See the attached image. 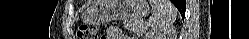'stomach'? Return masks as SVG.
Instances as JSON below:
<instances>
[{"label": "stomach", "mask_w": 249, "mask_h": 39, "mask_svg": "<svg viewBox=\"0 0 249 39\" xmlns=\"http://www.w3.org/2000/svg\"><path fill=\"white\" fill-rule=\"evenodd\" d=\"M149 12L145 0H97L83 14L89 25L106 24L112 20L141 21Z\"/></svg>", "instance_id": "obj_1"}]
</instances>
